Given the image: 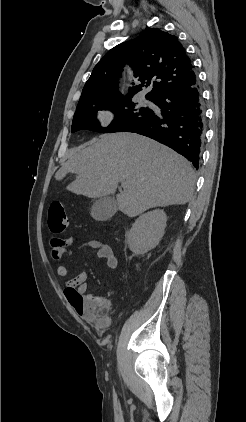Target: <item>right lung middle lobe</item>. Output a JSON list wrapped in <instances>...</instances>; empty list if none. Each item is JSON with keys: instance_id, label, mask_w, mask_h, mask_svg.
I'll use <instances>...</instances> for the list:
<instances>
[{"instance_id": "obj_1", "label": "right lung middle lobe", "mask_w": 246, "mask_h": 422, "mask_svg": "<svg viewBox=\"0 0 246 422\" xmlns=\"http://www.w3.org/2000/svg\"><path fill=\"white\" fill-rule=\"evenodd\" d=\"M132 96L98 100L76 108L71 131L88 129L101 133L119 132L149 118L153 110L141 107L131 101ZM109 109L115 114L114 120L103 128L96 119L98 110Z\"/></svg>"}]
</instances>
